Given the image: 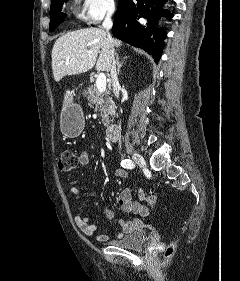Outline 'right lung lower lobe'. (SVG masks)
I'll list each match as a JSON object with an SVG mask.
<instances>
[{"label": "right lung lower lobe", "instance_id": "obj_1", "mask_svg": "<svg viewBox=\"0 0 240 281\" xmlns=\"http://www.w3.org/2000/svg\"><path fill=\"white\" fill-rule=\"evenodd\" d=\"M167 0H119L112 28V33L120 40L142 48L152 55L156 62L162 55V45L167 34L155 26L161 16L172 17L162 7ZM152 9L149 10L148 8ZM148 19V26L140 25L137 18ZM152 24V25H151Z\"/></svg>", "mask_w": 240, "mask_h": 281}]
</instances>
